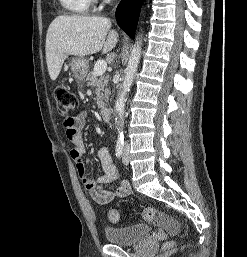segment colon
<instances>
[{
    "mask_svg": "<svg viewBox=\"0 0 247 257\" xmlns=\"http://www.w3.org/2000/svg\"><path fill=\"white\" fill-rule=\"evenodd\" d=\"M55 100L59 115L64 121V124H69L72 119V113L78 109L79 101L74 93L64 87H58L55 90ZM143 218L148 221L155 220V213L153 209H145L143 211ZM108 218L112 223H117L120 220V213L117 210H110ZM173 242H167L165 249H170Z\"/></svg>",
    "mask_w": 247,
    "mask_h": 257,
    "instance_id": "5ec220e1",
    "label": "colon"
}]
</instances>
